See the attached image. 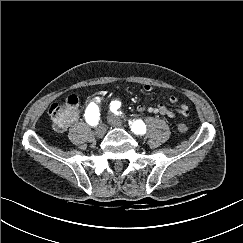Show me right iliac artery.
<instances>
[{
  "mask_svg": "<svg viewBox=\"0 0 243 243\" xmlns=\"http://www.w3.org/2000/svg\"><path fill=\"white\" fill-rule=\"evenodd\" d=\"M84 115L89 125L91 126L97 125L100 117L99 107L94 102H91L86 108Z\"/></svg>",
  "mask_w": 243,
  "mask_h": 243,
  "instance_id": "1",
  "label": "right iliac artery"
}]
</instances>
